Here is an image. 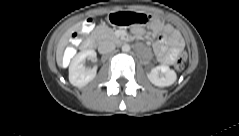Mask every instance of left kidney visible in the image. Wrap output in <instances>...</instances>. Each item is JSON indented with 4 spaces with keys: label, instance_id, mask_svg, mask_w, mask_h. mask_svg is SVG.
<instances>
[{
    "label": "left kidney",
    "instance_id": "obj_1",
    "mask_svg": "<svg viewBox=\"0 0 239 136\" xmlns=\"http://www.w3.org/2000/svg\"><path fill=\"white\" fill-rule=\"evenodd\" d=\"M152 84L158 87L171 86L177 79L176 72L166 65L157 66L147 74Z\"/></svg>",
    "mask_w": 239,
    "mask_h": 136
}]
</instances>
